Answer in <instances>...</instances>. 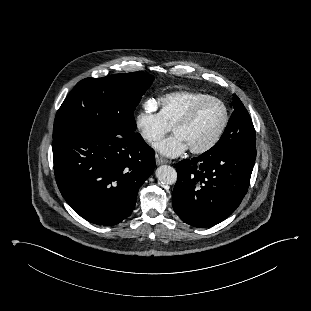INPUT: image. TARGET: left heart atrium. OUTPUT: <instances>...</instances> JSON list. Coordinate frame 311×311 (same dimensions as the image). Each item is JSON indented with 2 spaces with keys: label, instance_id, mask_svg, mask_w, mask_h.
Returning a JSON list of instances; mask_svg holds the SVG:
<instances>
[{
  "label": "left heart atrium",
  "instance_id": "left-heart-atrium-1",
  "mask_svg": "<svg viewBox=\"0 0 311 311\" xmlns=\"http://www.w3.org/2000/svg\"><path fill=\"white\" fill-rule=\"evenodd\" d=\"M156 150L170 158L178 157L189 149L186 142L178 134L163 139L155 145Z\"/></svg>",
  "mask_w": 311,
  "mask_h": 311
}]
</instances>
